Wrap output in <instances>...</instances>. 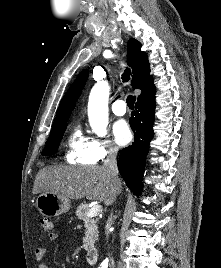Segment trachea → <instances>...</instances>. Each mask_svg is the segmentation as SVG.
Listing matches in <instances>:
<instances>
[{
  "instance_id": "trachea-1",
  "label": "trachea",
  "mask_w": 221,
  "mask_h": 268,
  "mask_svg": "<svg viewBox=\"0 0 221 268\" xmlns=\"http://www.w3.org/2000/svg\"><path fill=\"white\" fill-rule=\"evenodd\" d=\"M123 82H128L130 80V70L127 68L124 73L122 74ZM127 105L130 109H134V103L136 101L135 96H128L127 97Z\"/></svg>"
}]
</instances>
